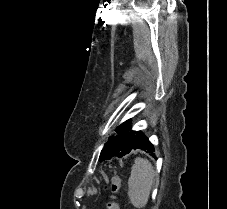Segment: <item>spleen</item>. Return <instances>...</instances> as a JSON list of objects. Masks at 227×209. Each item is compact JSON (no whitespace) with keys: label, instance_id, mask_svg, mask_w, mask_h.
<instances>
[{"label":"spleen","instance_id":"3e777b00","mask_svg":"<svg viewBox=\"0 0 227 209\" xmlns=\"http://www.w3.org/2000/svg\"><path fill=\"white\" fill-rule=\"evenodd\" d=\"M134 163L128 179V197L135 209H144L154 183V171L147 159L137 157Z\"/></svg>","mask_w":227,"mask_h":209}]
</instances>
